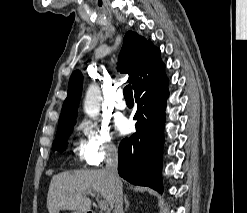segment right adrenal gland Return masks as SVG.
<instances>
[{
	"mask_svg": "<svg viewBox=\"0 0 247 213\" xmlns=\"http://www.w3.org/2000/svg\"><path fill=\"white\" fill-rule=\"evenodd\" d=\"M124 202H125V210L127 211L129 207V201L127 199V195L124 196Z\"/></svg>",
	"mask_w": 247,
	"mask_h": 213,
	"instance_id": "obj_1",
	"label": "right adrenal gland"
}]
</instances>
